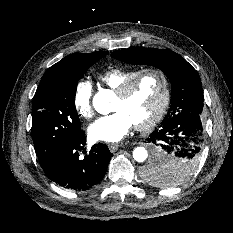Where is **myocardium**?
Returning a JSON list of instances; mask_svg holds the SVG:
<instances>
[{
	"mask_svg": "<svg viewBox=\"0 0 233 233\" xmlns=\"http://www.w3.org/2000/svg\"><path fill=\"white\" fill-rule=\"evenodd\" d=\"M148 74L156 75L159 78L161 82L162 94H161L160 103L154 114L146 121L135 124L136 129L139 131H147L153 128L154 126H156L163 118V116L165 115L168 109L171 99V90H170V82L167 74L159 68H154V67L144 68L142 70H139L129 79H127L116 90V95L124 98L129 95V93L131 92L135 84L138 82V80Z\"/></svg>",
	"mask_w": 233,
	"mask_h": 233,
	"instance_id": "f54148a6",
	"label": "myocardium"
}]
</instances>
